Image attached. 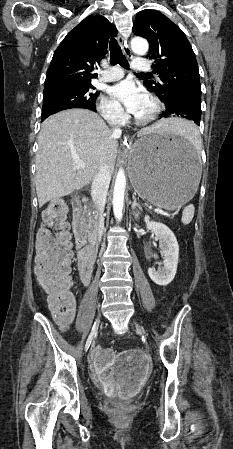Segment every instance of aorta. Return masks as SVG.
<instances>
[{
	"mask_svg": "<svg viewBox=\"0 0 233 449\" xmlns=\"http://www.w3.org/2000/svg\"><path fill=\"white\" fill-rule=\"evenodd\" d=\"M131 49L137 55H145L148 52V42L140 37L131 40ZM126 188V176L123 169H119L113 191V212L116 220L121 221L124 207V194Z\"/></svg>",
	"mask_w": 233,
	"mask_h": 449,
	"instance_id": "1",
	"label": "aorta"
}]
</instances>
